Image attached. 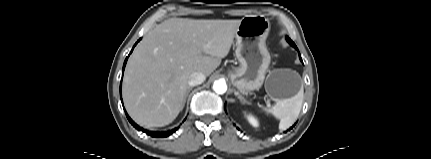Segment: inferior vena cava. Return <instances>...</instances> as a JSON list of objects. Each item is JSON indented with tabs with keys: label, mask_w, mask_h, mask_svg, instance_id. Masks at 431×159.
Instances as JSON below:
<instances>
[{
	"label": "inferior vena cava",
	"mask_w": 431,
	"mask_h": 159,
	"mask_svg": "<svg viewBox=\"0 0 431 159\" xmlns=\"http://www.w3.org/2000/svg\"><path fill=\"white\" fill-rule=\"evenodd\" d=\"M206 77L202 72H193L189 76L188 85L196 86L202 84L205 81Z\"/></svg>",
	"instance_id": "inferior-vena-cava-1"
}]
</instances>
